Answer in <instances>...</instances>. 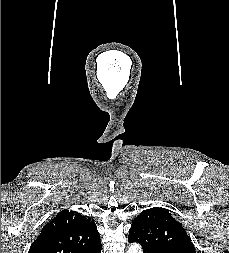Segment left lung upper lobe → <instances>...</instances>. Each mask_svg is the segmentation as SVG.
<instances>
[{
	"label": "left lung upper lobe",
	"instance_id": "left-lung-upper-lobe-1",
	"mask_svg": "<svg viewBox=\"0 0 229 253\" xmlns=\"http://www.w3.org/2000/svg\"><path fill=\"white\" fill-rule=\"evenodd\" d=\"M129 242H139L144 253H196L182 225L164 208H150L134 218Z\"/></svg>",
	"mask_w": 229,
	"mask_h": 253
}]
</instances>
